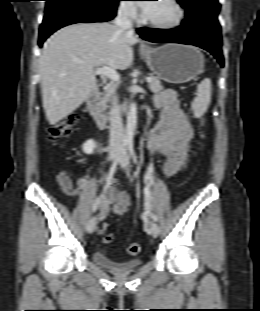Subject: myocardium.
Instances as JSON below:
<instances>
[{
  "label": "myocardium",
  "instance_id": "f54148a6",
  "mask_svg": "<svg viewBox=\"0 0 260 311\" xmlns=\"http://www.w3.org/2000/svg\"><path fill=\"white\" fill-rule=\"evenodd\" d=\"M168 2L176 10V17L172 21L167 22V23H158V22L151 21L146 16V14H144L142 17V22L144 24H146V25H148L154 29H158V30H172V29L179 27L185 19V9L179 0H168Z\"/></svg>",
  "mask_w": 260,
  "mask_h": 311
}]
</instances>
